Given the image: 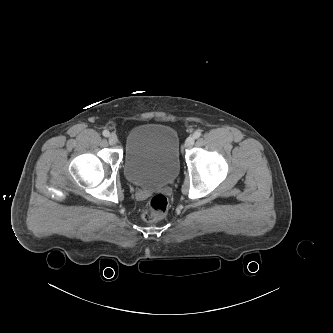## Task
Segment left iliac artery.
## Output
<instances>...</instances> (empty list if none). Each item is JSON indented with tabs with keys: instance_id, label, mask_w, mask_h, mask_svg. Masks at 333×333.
<instances>
[{
	"instance_id": "44dca946",
	"label": "left iliac artery",
	"mask_w": 333,
	"mask_h": 333,
	"mask_svg": "<svg viewBox=\"0 0 333 333\" xmlns=\"http://www.w3.org/2000/svg\"><path fill=\"white\" fill-rule=\"evenodd\" d=\"M194 138L197 139L201 136V132L200 131H196L194 134H193Z\"/></svg>"
}]
</instances>
